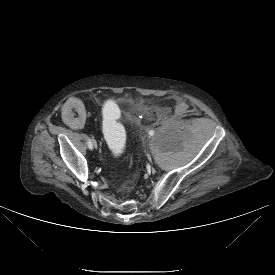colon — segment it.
<instances>
[{
    "label": "colon",
    "instance_id": "obj_1",
    "mask_svg": "<svg viewBox=\"0 0 275 275\" xmlns=\"http://www.w3.org/2000/svg\"><path fill=\"white\" fill-rule=\"evenodd\" d=\"M117 118V111L113 107L108 106L106 117L103 120V127L107 145L113 153L121 152L125 145L124 130Z\"/></svg>",
    "mask_w": 275,
    "mask_h": 275
}]
</instances>
